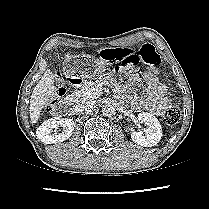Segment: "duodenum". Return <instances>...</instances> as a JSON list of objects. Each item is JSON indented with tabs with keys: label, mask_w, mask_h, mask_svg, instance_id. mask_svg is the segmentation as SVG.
I'll list each match as a JSON object with an SVG mask.
<instances>
[{
	"label": "duodenum",
	"mask_w": 209,
	"mask_h": 209,
	"mask_svg": "<svg viewBox=\"0 0 209 209\" xmlns=\"http://www.w3.org/2000/svg\"><path fill=\"white\" fill-rule=\"evenodd\" d=\"M73 86L77 89L84 85V81L81 79H71ZM78 101V92H73L65 98V104L69 107H74Z\"/></svg>",
	"instance_id": "obj_1"
}]
</instances>
